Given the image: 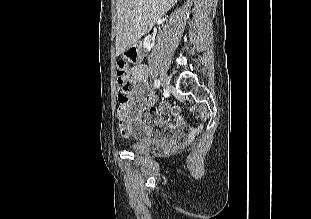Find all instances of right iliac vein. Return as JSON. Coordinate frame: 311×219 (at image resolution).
<instances>
[{
  "label": "right iliac vein",
  "mask_w": 311,
  "mask_h": 219,
  "mask_svg": "<svg viewBox=\"0 0 311 219\" xmlns=\"http://www.w3.org/2000/svg\"><path fill=\"white\" fill-rule=\"evenodd\" d=\"M160 82L163 88H167L169 86V78L165 73L161 74Z\"/></svg>",
  "instance_id": "obj_1"
}]
</instances>
